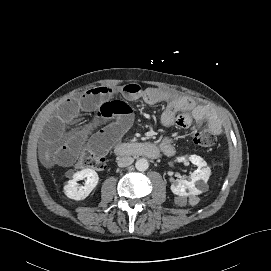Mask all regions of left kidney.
<instances>
[{"mask_svg": "<svg viewBox=\"0 0 271 271\" xmlns=\"http://www.w3.org/2000/svg\"><path fill=\"white\" fill-rule=\"evenodd\" d=\"M192 164L198 168L190 175V181L177 179L171 184V191L178 196L187 197L189 195H197L201 192L197 186L200 181L207 183L210 176V168L207 163L197 155H191L189 158Z\"/></svg>", "mask_w": 271, "mask_h": 271, "instance_id": "5707ae66", "label": "left kidney"}]
</instances>
